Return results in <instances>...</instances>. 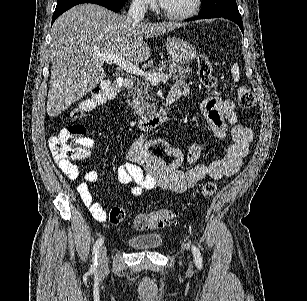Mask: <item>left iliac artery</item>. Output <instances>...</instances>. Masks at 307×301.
Listing matches in <instances>:
<instances>
[{"label":"left iliac artery","mask_w":307,"mask_h":301,"mask_svg":"<svg viewBox=\"0 0 307 301\" xmlns=\"http://www.w3.org/2000/svg\"><path fill=\"white\" fill-rule=\"evenodd\" d=\"M192 252L195 258V263H196L197 268L201 269L202 268V255L199 249L196 246L192 245Z\"/></svg>","instance_id":"1"}]
</instances>
